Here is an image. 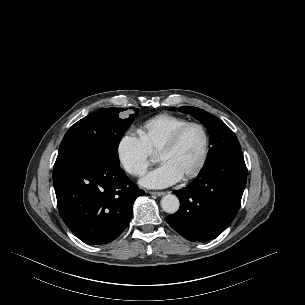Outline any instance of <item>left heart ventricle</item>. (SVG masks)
<instances>
[{
	"label": "left heart ventricle",
	"mask_w": 305,
	"mask_h": 305,
	"mask_svg": "<svg viewBox=\"0 0 305 305\" xmlns=\"http://www.w3.org/2000/svg\"><path fill=\"white\" fill-rule=\"evenodd\" d=\"M203 147L204 137L201 130L192 127L186 131L173 150L161 154L158 160L169 164L183 177L198 165Z\"/></svg>",
	"instance_id": "obj_1"
}]
</instances>
